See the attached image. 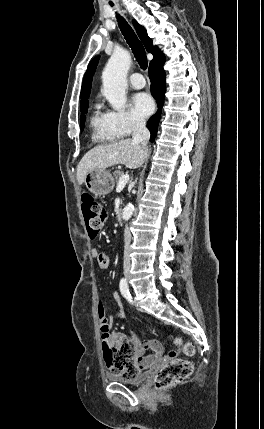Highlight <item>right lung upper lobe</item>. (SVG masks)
<instances>
[{
	"instance_id": "obj_1",
	"label": "right lung upper lobe",
	"mask_w": 264,
	"mask_h": 429,
	"mask_svg": "<svg viewBox=\"0 0 264 429\" xmlns=\"http://www.w3.org/2000/svg\"><path fill=\"white\" fill-rule=\"evenodd\" d=\"M133 25L136 29V32L139 38L143 42L146 50L153 54L154 59L151 61L153 62L157 57H159L162 54V52L157 48V46L152 45V40L148 37L147 32L143 26L139 25L135 20H133ZM98 61H99V56L94 58L90 62L87 68V71L85 73L83 85L81 88V106L88 104V97L90 94L91 82H92V78H93L96 66L98 64Z\"/></svg>"
}]
</instances>
